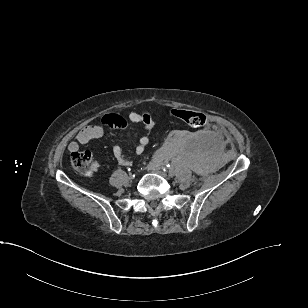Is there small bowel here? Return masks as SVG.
I'll use <instances>...</instances> for the list:
<instances>
[{
	"mask_svg": "<svg viewBox=\"0 0 308 308\" xmlns=\"http://www.w3.org/2000/svg\"><path fill=\"white\" fill-rule=\"evenodd\" d=\"M129 122L137 124L142 129V135L135 147V153L141 155L149 144L151 131L155 127V122L148 112L129 111L127 118L116 114H106L101 118L100 124L89 125L81 129L76 135L75 141L69 143L68 150L70 152L76 151L79 149V145L87 144L92 140L103 137L107 128L128 130ZM127 137L130 138V133H127ZM113 155L122 166L132 164V160L125 156L120 146L113 148ZM93 168L97 170L98 164L95 163Z\"/></svg>",
	"mask_w": 308,
	"mask_h": 308,
	"instance_id": "small-bowel-1",
	"label": "small bowel"
}]
</instances>
